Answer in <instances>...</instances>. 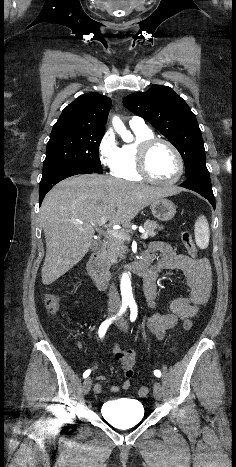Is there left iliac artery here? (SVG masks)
I'll return each mask as SVG.
<instances>
[{
  "mask_svg": "<svg viewBox=\"0 0 236 467\" xmlns=\"http://www.w3.org/2000/svg\"><path fill=\"white\" fill-rule=\"evenodd\" d=\"M129 307H130V320H131V322H134L136 320V317H137L138 308H137V305H136V303L134 301L129 303ZM154 375L156 377H161V372L159 370H155Z\"/></svg>",
  "mask_w": 236,
  "mask_h": 467,
  "instance_id": "obj_1",
  "label": "left iliac artery"
}]
</instances>
